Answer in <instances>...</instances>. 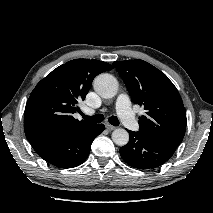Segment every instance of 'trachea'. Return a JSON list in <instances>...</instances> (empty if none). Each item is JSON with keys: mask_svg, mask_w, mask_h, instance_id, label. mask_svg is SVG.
I'll list each match as a JSON object with an SVG mask.
<instances>
[{"mask_svg": "<svg viewBox=\"0 0 213 213\" xmlns=\"http://www.w3.org/2000/svg\"><path fill=\"white\" fill-rule=\"evenodd\" d=\"M83 119L86 121L94 122V123H101L104 120V116L102 114H96L94 116H86L82 114ZM109 123L113 126L119 125V120L116 116H111L109 118Z\"/></svg>", "mask_w": 213, "mask_h": 213, "instance_id": "1", "label": "trachea"}]
</instances>
